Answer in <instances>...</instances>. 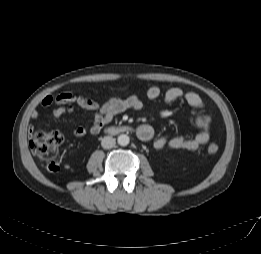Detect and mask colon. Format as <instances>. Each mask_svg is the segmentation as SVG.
Listing matches in <instances>:
<instances>
[{
    "label": "colon",
    "mask_w": 261,
    "mask_h": 254,
    "mask_svg": "<svg viewBox=\"0 0 261 254\" xmlns=\"http://www.w3.org/2000/svg\"><path fill=\"white\" fill-rule=\"evenodd\" d=\"M63 141L64 136L58 131H37L31 136L30 148L49 171H58L60 169L58 154ZM207 151L210 155H215L218 152V145L209 144Z\"/></svg>",
    "instance_id": "5ec220e1"
}]
</instances>
